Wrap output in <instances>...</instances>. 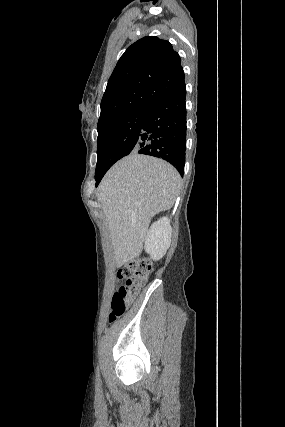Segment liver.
I'll use <instances>...</instances> for the list:
<instances>
[{
	"mask_svg": "<svg viewBox=\"0 0 285 427\" xmlns=\"http://www.w3.org/2000/svg\"><path fill=\"white\" fill-rule=\"evenodd\" d=\"M180 184L179 173L168 162L136 152L109 169L96 195L117 267L139 257L151 219L174 205Z\"/></svg>",
	"mask_w": 285,
	"mask_h": 427,
	"instance_id": "6515ba94",
	"label": "liver"
}]
</instances>
